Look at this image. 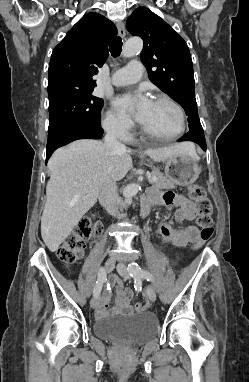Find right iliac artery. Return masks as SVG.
<instances>
[{
    "label": "right iliac artery",
    "mask_w": 249,
    "mask_h": 382,
    "mask_svg": "<svg viewBox=\"0 0 249 382\" xmlns=\"http://www.w3.org/2000/svg\"><path fill=\"white\" fill-rule=\"evenodd\" d=\"M106 281V271L104 268H100L98 271V278L94 287V296L99 295L103 286V283Z\"/></svg>",
    "instance_id": "right-iliac-artery-1"
}]
</instances>
